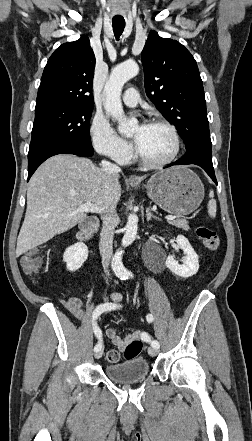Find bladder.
Returning <instances> with one entry per match:
<instances>
[{
	"label": "bladder",
	"mask_w": 252,
	"mask_h": 441,
	"mask_svg": "<svg viewBox=\"0 0 252 441\" xmlns=\"http://www.w3.org/2000/svg\"><path fill=\"white\" fill-rule=\"evenodd\" d=\"M106 376L117 383H132L143 380L149 373L148 361L143 357L110 363L105 367Z\"/></svg>",
	"instance_id": "obj_1"
}]
</instances>
